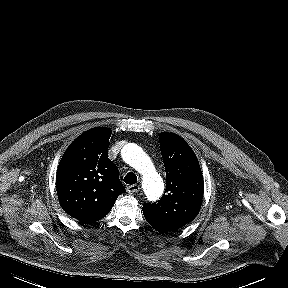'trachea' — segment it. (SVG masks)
Listing matches in <instances>:
<instances>
[{
	"label": "trachea",
	"instance_id": "obj_1",
	"mask_svg": "<svg viewBox=\"0 0 288 288\" xmlns=\"http://www.w3.org/2000/svg\"><path fill=\"white\" fill-rule=\"evenodd\" d=\"M124 182L129 185L135 184L137 183V176L133 172H129L124 177Z\"/></svg>",
	"mask_w": 288,
	"mask_h": 288
}]
</instances>
